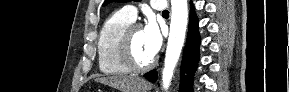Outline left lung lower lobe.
I'll return each instance as SVG.
<instances>
[{"label":"left lung lower lobe","mask_w":289,"mask_h":92,"mask_svg":"<svg viewBox=\"0 0 289 92\" xmlns=\"http://www.w3.org/2000/svg\"><path fill=\"white\" fill-rule=\"evenodd\" d=\"M199 43L198 19L195 13L192 12L190 15L187 44L184 49L181 66L180 92H193L192 76L199 61ZM184 73H187L188 75L184 76ZM144 77L151 82H155L157 80V72L156 70H152L144 74Z\"/></svg>","instance_id":"obj_1"}]
</instances>
